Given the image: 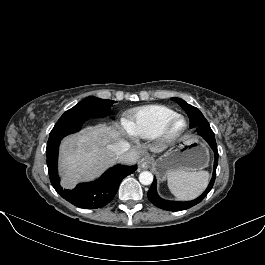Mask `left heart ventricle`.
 I'll return each instance as SVG.
<instances>
[{
    "label": "left heart ventricle",
    "mask_w": 265,
    "mask_h": 265,
    "mask_svg": "<svg viewBox=\"0 0 265 265\" xmlns=\"http://www.w3.org/2000/svg\"><path fill=\"white\" fill-rule=\"evenodd\" d=\"M175 126L176 128H179L181 126V121H177Z\"/></svg>",
    "instance_id": "left-heart-ventricle-1"
}]
</instances>
